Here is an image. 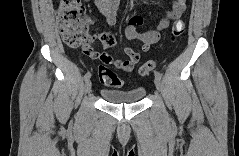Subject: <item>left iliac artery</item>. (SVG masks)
<instances>
[{
	"label": "left iliac artery",
	"instance_id": "44dca946",
	"mask_svg": "<svg viewBox=\"0 0 239 156\" xmlns=\"http://www.w3.org/2000/svg\"><path fill=\"white\" fill-rule=\"evenodd\" d=\"M154 75H155V77H157V78H159V79L162 78V74H161L159 71H155V72H154Z\"/></svg>",
	"mask_w": 239,
	"mask_h": 156
}]
</instances>
